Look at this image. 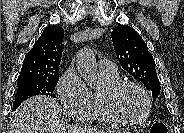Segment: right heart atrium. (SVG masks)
Here are the masks:
<instances>
[{
	"label": "right heart atrium",
	"instance_id": "1",
	"mask_svg": "<svg viewBox=\"0 0 184 133\" xmlns=\"http://www.w3.org/2000/svg\"><path fill=\"white\" fill-rule=\"evenodd\" d=\"M57 92L64 111L71 119L89 122L94 109L93 94L74 69L62 75Z\"/></svg>",
	"mask_w": 184,
	"mask_h": 133
}]
</instances>
